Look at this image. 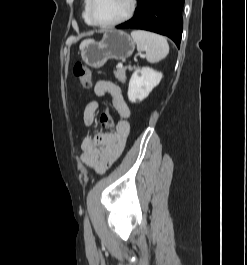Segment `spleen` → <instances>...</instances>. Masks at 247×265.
<instances>
[{"instance_id": "1", "label": "spleen", "mask_w": 247, "mask_h": 265, "mask_svg": "<svg viewBox=\"0 0 247 265\" xmlns=\"http://www.w3.org/2000/svg\"><path fill=\"white\" fill-rule=\"evenodd\" d=\"M131 37L137 45L138 52H145L147 61L158 62L169 53V45L165 37L143 30H134Z\"/></svg>"}]
</instances>
